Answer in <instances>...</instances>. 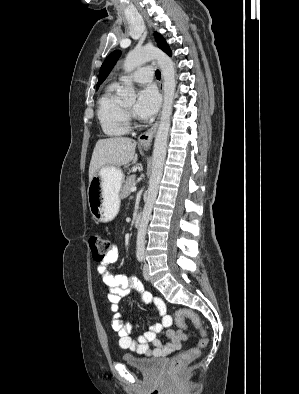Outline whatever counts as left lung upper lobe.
<instances>
[{
    "label": "left lung upper lobe",
    "instance_id": "obj_1",
    "mask_svg": "<svg viewBox=\"0 0 299 394\" xmlns=\"http://www.w3.org/2000/svg\"><path fill=\"white\" fill-rule=\"evenodd\" d=\"M154 37L160 49H162L168 55L172 54L168 44L159 33L155 32ZM120 54L121 52L119 50L112 52L102 64L99 72L97 89L100 86V84L105 80V78L108 76L114 65L116 64L118 58L120 57Z\"/></svg>",
    "mask_w": 299,
    "mask_h": 394
}]
</instances>
